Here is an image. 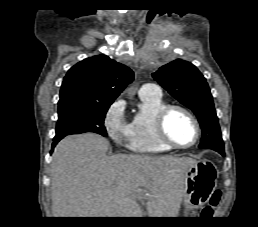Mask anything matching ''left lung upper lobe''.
Listing matches in <instances>:
<instances>
[{
	"label": "left lung upper lobe",
	"mask_w": 258,
	"mask_h": 227,
	"mask_svg": "<svg viewBox=\"0 0 258 227\" xmlns=\"http://www.w3.org/2000/svg\"><path fill=\"white\" fill-rule=\"evenodd\" d=\"M153 78L198 117L202 128L200 148L223 151L224 145L213 98L204 76L191 63L175 60L152 74Z\"/></svg>",
	"instance_id": "left-lung-upper-lobe-1"
}]
</instances>
